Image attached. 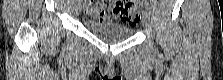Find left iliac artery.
<instances>
[{
  "label": "left iliac artery",
  "instance_id": "44dca946",
  "mask_svg": "<svg viewBox=\"0 0 223 80\" xmlns=\"http://www.w3.org/2000/svg\"><path fill=\"white\" fill-rule=\"evenodd\" d=\"M145 11L150 14V7L148 5L145 6Z\"/></svg>",
  "mask_w": 223,
  "mask_h": 80
}]
</instances>
